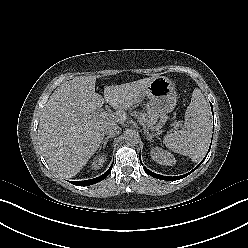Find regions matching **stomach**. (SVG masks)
<instances>
[{"instance_id": "obj_1", "label": "stomach", "mask_w": 248, "mask_h": 248, "mask_svg": "<svg viewBox=\"0 0 248 248\" xmlns=\"http://www.w3.org/2000/svg\"><path fill=\"white\" fill-rule=\"evenodd\" d=\"M145 96L149 99L147 109L151 125L158 117H164L171 112L177 102L175 86L165 76L154 77L142 90L141 97Z\"/></svg>"}]
</instances>
